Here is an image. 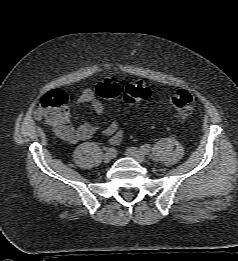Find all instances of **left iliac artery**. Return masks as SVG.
<instances>
[{
  "label": "left iliac artery",
  "instance_id": "left-iliac-artery-1",
  "mask_svg": "<svg viewBox=\"0 0 238 261\" xmlns=\"http://www.w3.org/2000/svg\"><path fill=\"white\" fill-rule=\"evenodd\" d=\"M140 150L144 153V154H148L151 150V145L150 144H144L140 147Z\"/></svg>",
  "mask_w": 238,
  "mask_h": 261
}]
</instances>
